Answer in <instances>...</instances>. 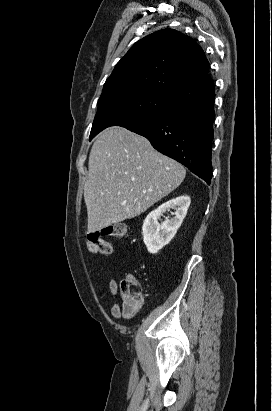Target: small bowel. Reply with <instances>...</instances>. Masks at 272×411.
Returning a JSON list of instances; mask_svg holds the SVG:
<instances>
[{"instance_id":"c3829d8e","label":"small bowel","mask_w":272,"mask_h":411,"mask_svg":"<svg viewBox=\"0 0 272 411\" xmlns=\"http://www.w3.org/2000/svg\"><path fill=\"white\" fill-rule=\"evenodd\" d=\"M108 287H109L111 295L116 296L117 293H118V282H117V280L116 279L110 280ZM111 314H112V317L115 320H118V319L121 318L122 309H121V306L118 302H115L113 304V306L111 307Z\"/></svg>"}]
</instances>
